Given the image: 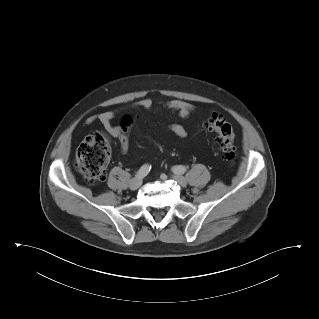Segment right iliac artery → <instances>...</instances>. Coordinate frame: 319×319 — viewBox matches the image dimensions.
Segmentation results:
<instances>
[{"label":"right iliac artery","mask_w":319,"mask_h":319,"mask_svg":"<svg viewBox=\"0 0 319 319\" xmlns=\"http://www.w3.org/2000/svg\"><path fill=\"white\" fill-rule=\"evenodd\" d=\"M150 169H151V166H149L148 164L143 165L136 173V177H140V178L145 177L149 173Z\"/></svg>","instance_id":"right-iliac-artery-1"}]
</instances>
